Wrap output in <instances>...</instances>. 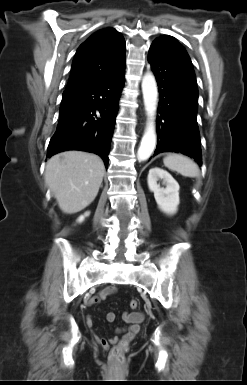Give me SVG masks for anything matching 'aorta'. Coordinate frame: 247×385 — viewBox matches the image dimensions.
Segmentation results:
<instances>
[{"instance_id": "obj_1", "label": "aorta", "mask_w": 247, "mask_h": 385, "mask_svg": "<svg viewBox=\"0 0 247 385\" xmlns=\"http://www.w3.org/2000/svg\"><path fill=\"white\" fill-rule=\"evenodd\" d=\"M142 93L148 121L142 137L137 156L140 161L147 160L156 146L155 117L157 109L158 89L152 73H146L142 79Z\"/></svg>"}]
</instances>
